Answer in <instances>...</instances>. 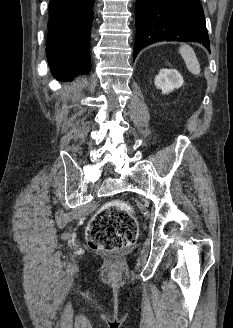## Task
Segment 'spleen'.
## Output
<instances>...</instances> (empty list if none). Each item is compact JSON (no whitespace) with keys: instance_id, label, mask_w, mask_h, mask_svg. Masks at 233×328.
<instances>
[{"instance_id":"obj_1","label":"spleen","mask_w":233,"mask_h":328,"mask_svg":"<svg viewBox=\"0 0 233 328\" xmlns=\"http://www.w3.org/2000/svg\"><path fill=\"white\" fill-rule=\"evenodd\" d=\"M179 53L184 59L187 69L194 75H200V64L192 47L187 44L181 45Z\"/></svg>"}]
</instances>
